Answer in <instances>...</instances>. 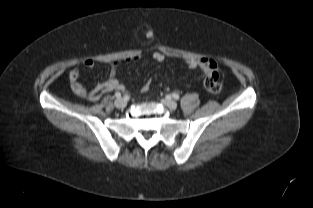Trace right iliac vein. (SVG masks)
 Wrapping results in <instances>:
<instances>
[{
	"label": "right iliac vein",
	"mask_w": 313,
	"mask_h": 208,
	"mask_svg": "<svg viewBox=\"0 0 313 208\" xmlns=\"http://www.w3.org/2000/svg\"><path fill=\"white\" fill-rule=\"evenodd\" d=\"M114 104L117 108H124L127 105V101L124 98H118Z\"/></svg>",
	"instance_id": "1"
}]
</instances>
